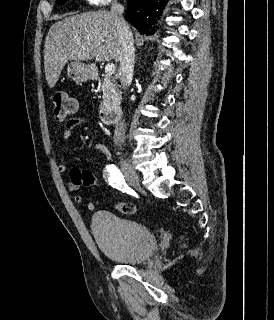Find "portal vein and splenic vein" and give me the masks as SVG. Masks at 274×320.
Instances as JSON below:
<instances>
[{
    "label": "portal vein and splenic vein",
    "instance_id": "obj_1",
    "mask_svg": "<svg viewBox=\"0 0 274 320\" xmlns=\"http://www.w3.org/2000/svg\"><path fill=\"white\" fill-rule=\"evenodd\" d=\"M116 68L114 66V64H107V66H105V74H107V76H111V74H114Z\"/></svg>",
    "mask_w": 274,
    "mask_h": 320
}]
</instances>
